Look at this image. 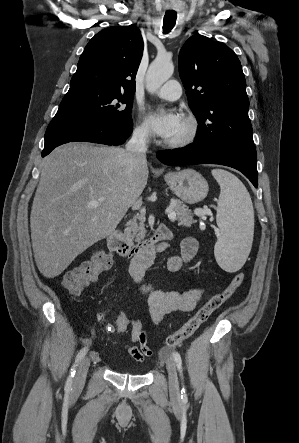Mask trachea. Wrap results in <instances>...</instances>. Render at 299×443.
<instances>
[{
  "label": "trachea",
  "instance_id": "obj_1",
  "mask_svg": "<svg viewBox=\"0 0 299 443\" xmlns=\"http://www.w3.org/2000/svg\"><path fill=\"white\" fill-rule=\"evenodd\" d=\"M176 23V14L166 13L163 20V32L167 34L172 30Z\"/></svg>",
  "mask_w": 299,
  "mask_h": 443
}]
</instances>
